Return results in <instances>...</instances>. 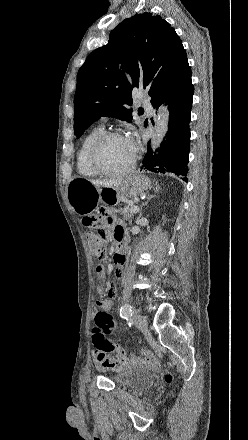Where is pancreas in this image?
<instances>
[{
	"label": "pancreas",
	"instance_id": "1",
	"mask_svg": "<svg viewBox=\"0 0 248 440\" xmlns=\"http://www.w3.org/2000/svg\"><path fill=\"white\" fill-rule=\"evenodd\" d=\"M119 212L123 215V219L127 220L129 223H132L134 213L130 210V208L120 209Z\"/></svg>",
	"mask_w": 248,
	"mask_h": 440
}]
</instances>
